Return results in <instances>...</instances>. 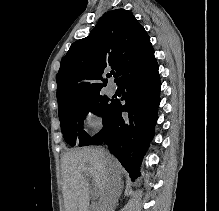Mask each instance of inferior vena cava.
Masks as SVG:
<instances>
[{
	"label": "inferior vena cava",
	"mask_w": 219,
	"mask_h": 211,
	"mask_svg": "<svg viewBox=\"0 0 219 211\" xmlns=\"http://www.w3.org/2000/svg\"><path fill=\"white\" fill-rule=\"evenodd\" d=\"M124 178L123 174H112L107 187L105 189L106 197L103 198L104 202H101V207L97 208V211H112L113 207H116V202L118 198L121 197V187L122 179Z\"/></svg>",
	"instance_id": "602c4592"
}]
</instances>
